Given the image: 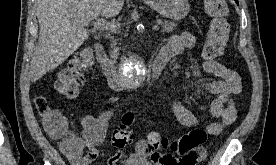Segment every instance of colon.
<instances>
[{"label": "colon", "mask_w": 276, "mask_h": 165, "mask_svg": "<svg viewBox=\"0 0 276 165\" xmlns=\"http://www.w3.org/2000/svg\"><path fill=\"white\" fill-rule=\"evenodd\" d=\"M203 5L205 13L210 17L203 55L206 59L214 60L224 52L228 41L230 25L227 17L229 9L225 0H203ZM93 64V51L90 48L79 50L61 71L55 85L57 92L66 99H74L80 86L84 83V73ZM35 106L47 132L54 137H64L61 148L65 152H76L79 144L67 132L64 115L59 110L52 108L43 96L35 98ZM133 118L132 113H126L123 116L122 125L113 131L111 142L114 147L122 149L130 144L131 132L129 126ZM206 139L207 134L202 129H193L173 141H169L160 133L152 132L146 139L138 143L137 148L150 156L156 154L158 149L170 148L176 154L184 157L198 152Z\"/></svg>", "instance_id": "1"}]
</instances>
